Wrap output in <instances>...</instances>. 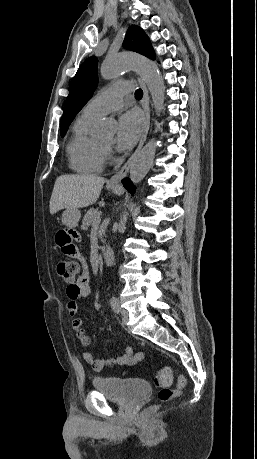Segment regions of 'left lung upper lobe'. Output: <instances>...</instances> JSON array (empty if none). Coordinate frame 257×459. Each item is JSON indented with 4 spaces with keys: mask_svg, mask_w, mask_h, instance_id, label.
<instances>
[{
    "mask_svg": "<svg viewBox=\"0 0 257 459\" xmlns=\"http://www.w3.org/2000/svg\"><path fill=\"white\" fill-rule=\"evenodd\" d=\"M123 47L145 55L150 59H155V53L148 36L143 29L138 26L129 27ZM98 84L97 58L86 59L79 67L70 86L69 95L66 99L63 116L61 118L60 132L64 136L67 129L77 113L91 98Z\"/></svg>",
    "mask_w": 257,
    "mask_h": 459,
    "instance_id": "5c2ea615",
    "label": "left lung upper lobe"
}]
</instances>
